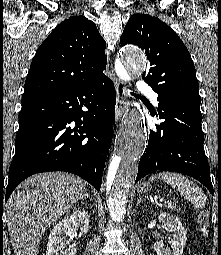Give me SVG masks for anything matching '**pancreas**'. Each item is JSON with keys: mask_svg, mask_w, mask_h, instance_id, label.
Listing matches in <instances>:
<instances>
[{"mask_svg": "<svg viewBox=\"0 0 221 255\" xmlns=\"http://www.w3.org/2000/svg\"><path fill=\"white\" fill-rule=\"evenodd\" d=\"M166 207L172 209V210H177V206L174 204H166Z\"/></svg>", "mask_w": 221, "mask_h": 255, "instance_id": "1", "label": "pancreas"}]
</instances>
